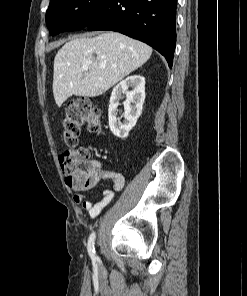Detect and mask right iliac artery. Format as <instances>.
Masks as SVG:
<instances>
[{
  "mask_svg": "<svg viewBox=\"0 0 247 296\" xmlns=\"http://www.w3.org/2000/svg\"><path fill=\"white\" fill-rule=\"evenodd\" d=\"M94 241H95V232H93L90 235L89 240H88V246H87L88 253H89L92 260L96 259L95 249H94Z\"/></svg>",
  "mask_w": 247,
  "mask_h": 296,
  "instance_id": "82829eb1",
  "label": "right iliac artery"
}]
</instances>
